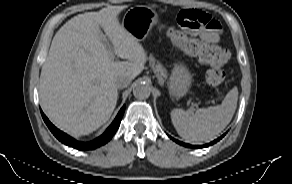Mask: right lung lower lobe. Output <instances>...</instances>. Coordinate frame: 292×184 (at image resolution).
Wrapping results in <instances>:
<instances>
[{
    "label": "right lung lower lobe",
    "mask_w": 292,
    "mask_h": 184,
    "mask_svg": "<svg viewBox=\"0 0 292 184\" xmlns=\"http://www.w3.org/2000/svg\"><path fill=\"white\" fill-rule=\"evenodd\" d=\"M125 110V106H123L118 115L116 116L115 120L112 122V124L108 127V129L98 138H96L93 141L90 142H79L75 140L74 138L70 137L66 133H63L59 129H57L49 120L48 118L44 115V113L41 111L43 120L45 121L46 125L50 129V131L53 133V135L62 143L73 147L78 150H93L95 148H98L104 144H106L115 134L117 129L119 128L121 119L123 117V113Z\"/></svg>",
    "instance_id": "obj_1"
}]
</instances>
